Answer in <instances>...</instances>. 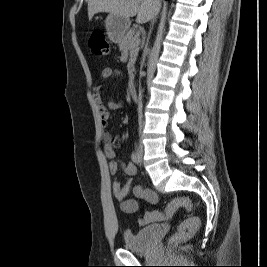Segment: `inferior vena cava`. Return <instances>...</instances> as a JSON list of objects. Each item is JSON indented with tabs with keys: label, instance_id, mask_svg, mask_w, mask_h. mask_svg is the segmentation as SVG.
I'll use <instances>...</instances> for the list:
<instances>
[{
	"label": "inferior vena cava",
	"instance_id": "1",
	"mask_svg": "<svg viewBox=\"0 0 267 267\" xmlns=\"http://www.w3.org/2000/svg\"><path fill=\"white\" fill-rule=\"evenodd\" d=\"M154 24V18H153V21H152V26ZM141 96L139 97V101H138V113H139V119H141L142 117V101H141Z\"/></svg>",
	"mask_w": 267,
	"mask_h": 267
}]
</instances>
